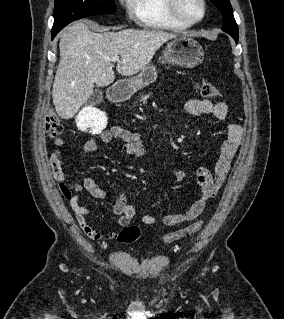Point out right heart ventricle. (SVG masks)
Masks as SVG:
<instances>
[{
	"mask_svg": "<svg viewBox=\"0 0 284 319\" xmlns=\"http://www.w3.org/2000/svg\"><path fill=\"white\" fill-rule=\"evenodd\" d=\"M134 16L141 27L148 29L179 30L189 26L170 14L167 0H134Z\"/></svg>",
	"mask_w": 284,
	"mask_h": 319,
	"instance_id": "e07e8e85",
	"label": "right heart ventricle"
}]
</instances>
